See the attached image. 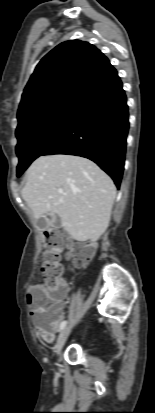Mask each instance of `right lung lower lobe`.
Instances as JSON below:
<instances>
[{"instance_id":"98d812e1","label":"right lung lower lobe","mask_w":155,"mask_h":413,"mask_svg":"<svg viewBox=\"0 0 155 413\" xmlns=\"http://www.w3.org/2000/svg\"><path fill=\"white\" fill-rule=\"evenodd\" d=\"M118 75L78 103L66 128L42 155L69 154L97 163L120 187L129 129Z\"/></svg>"}]
</instances>
